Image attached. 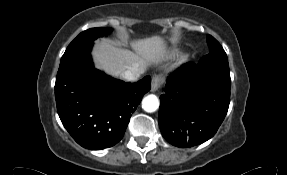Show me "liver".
Returning a JSON list of instances; mask_svg holds the SVG:
<instances>
[{"instance_id":"1","label":"liver","mask_w":287,"mask_h":175,"mask_svg":"<svg viewBox=\"0 0 287 175\" xmlns=\"http://www.w3.org/2000/svg\"><path fill=\"white\" fill-rule=\"evenodd\" d=\"M135 52L115 46L106 39L98 41L92 52L96 67L112 76H120L129 69L160 62L167 54V44L160 36L139 39L131 43Z\"/></svg>"}]
</instances>
